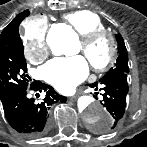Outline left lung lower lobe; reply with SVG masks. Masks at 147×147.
<instances>
[{
	"label": "left lung lower lobe",
	"mask_w": 147,
	"mask_h": 147,
	"mask_svg": "<svg viewBox=\"0 0 147 147\" xmlns=\"http://www.w3.org/2000/svg\"><path fill=\"white\" fill-rule=\"evenodd\" d=\"M98 85H102L104 93L101 104L112 115V122L107 127H99L100 131L114 129L124 115L126 96L128 93L127 74L122 73L108 79L93 83L90 86L98 90Z\"/></svg>",
	"instance_id": "obj_1"
}]
</instances>
